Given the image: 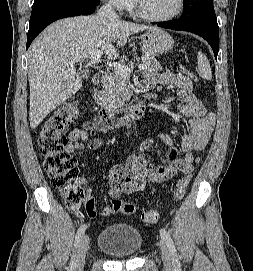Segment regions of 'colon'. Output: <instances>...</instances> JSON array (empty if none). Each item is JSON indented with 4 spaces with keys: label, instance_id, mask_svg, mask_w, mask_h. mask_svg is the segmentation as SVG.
Wrapping results in <instances>:
<instances>
[{
    "label": "colon",
    "instance_id": "1",
    "mask_svg": "<svg viewBox=\"0 0 253 271\" xmlns=\"http://www.w3.org/2000/svg\"><path fill=\"white\" fill-rule=\"evenodd\" d=\"M183 71L189 76L192 75L187 68H184ZM76 116L75 102L61 106L45 121L38 134L37 144L43 158L44 170L48 174L51 184L59 189L67 208L80 217H84L81 208L84 206L90 216L95 203L92 198L86 196L85 190L76 181L78 164L75 157L66 150L68 145L66 132ZM190 180V175H184L178 180L174 191L177 199L183 198ZM111 209L113 213L125 215H132L136 212L134 204L119 199L112 200ZM159 219L160 214L156 210H147L141 214V220L146 224H156Z\"/></svg>",
    "mask_w": 253,
    "mask_h": 271
}]
</instances>
